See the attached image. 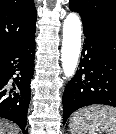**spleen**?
I'll use <instances>...</instances> for the list:
<instances>
[{
  "instance_id": "spleen-1",
  "label": "spleen",
  "mask_w": 116,
  "mask_h": 134,
  "mask_svg": "<svg viewBox=\"0 0 116 134\" xmlns=\"http://www.w3.org/2000/svg\"><path fill=\"white\" fill-rule=\"evenodd\" d=\"M72 134H96L102 129L105 134H116V108L94 105L75 112L71 118Z\"/></svg>"
}]
</instances>
